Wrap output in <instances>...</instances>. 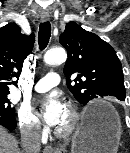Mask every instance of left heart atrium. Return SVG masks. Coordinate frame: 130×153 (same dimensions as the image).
<instances>
[{"label": "left heart atrium", "mask_w": 130, "mask_h": 153, "mask_svg": "<svg viewBox=\"0 0 130 153\" xmlns=\"http://www.w3.org/2000/svg\"><path fill=\"white\" fill-rule=\"evenodd\" d=\"M64 105L57 95H48L42 103V118L50 126H57L64 113Z\"/></svg>", "instance_id": "1"}]
</instances>
